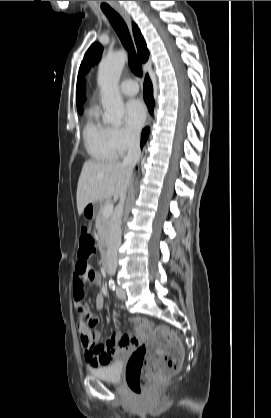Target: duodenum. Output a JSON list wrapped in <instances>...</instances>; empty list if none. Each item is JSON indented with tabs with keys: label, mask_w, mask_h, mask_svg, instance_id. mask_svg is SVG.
<instances>
[{
	"label": "duodenum",
	"mask_w": 271,
	"mask_h": 418,
	"mask_svg": "<svg viewBox=\"0 0 271 418\" xmlns=\"http://www.w3.org/2000/svg\"><path fill=\"white\" fill-rule=\"evenodd\" d=\"M102 267L105 271H107L109 268V259H108V255L106 252L103 254V257H102Z\"/></svg>",
	"instance_id": "duodenum-1"
}]
</instances>
